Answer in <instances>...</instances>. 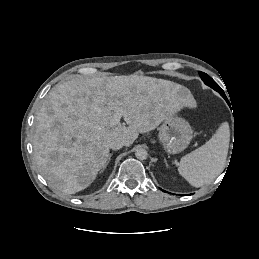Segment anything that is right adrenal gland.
<instances>
[{"mask_svg": "<svg viewBox=\"0 0 259 259\" xmlns=\"http://www.w3.org/2000/svg\"><path fill=\"white\" fill-rule=\"evenodd\" d=\"M112 155H113V153H110V154H109V157H108V159H107L105 165L103 166V168H102V170H101L100 172H103V171L106 169L107 165L109 164V162H110V160H111Z\"/></svg>", "mask_w": 259, "mask_h": 259, "instance_id": "right-adrenal-gland-1", "label": "right adrenal gland"}]
</instances>
